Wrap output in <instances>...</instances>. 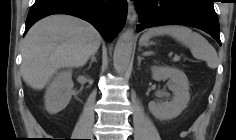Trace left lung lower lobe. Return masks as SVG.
Segmentation results:
<instances>
[{
    "label": "left lung lower lobe",
    "mask_w": 236,
    "mask_h": 140,
    "mask_svg": "<svg viewBox=\"0 0 236 140\" xmlns=\"http://www.w3.org/2000/svg\"><path fill=\"white\" fill-rule=\"evenodd\" d=\"M137 30L180 24L201 29L220 45L219 22L213 0H136Z\"/></svg>",
    "instance_id": "left-lung-lower-lobe-1"
}]
</instances>
